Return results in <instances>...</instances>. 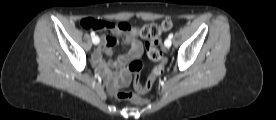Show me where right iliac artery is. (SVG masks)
<instances>
[{"label": "right iliac artery", "instance_id": "obj_1", "mask_svg": "<svg viewBox=\"0 0 276 120\" xmlns=\"http://www.w3.org/2000/svg\"><path fill=\"white\" fill-rule=\"evenodd\" d=\"M91 37H92L93 43H99L100 40H99V38L96 39L94 32H91Z\"/></svg>", "mask_w": 276, "mask_h": 120}]
</instances>
